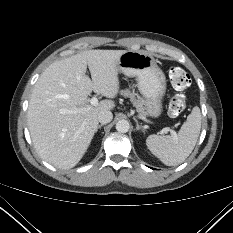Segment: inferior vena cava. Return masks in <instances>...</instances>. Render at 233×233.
Masks as SVG:
<instances>
[{"mask_svg":"<svg viewBox=\"0 0 233 233\" xmlns=\"http://www.w3.org/2000/svg\"><path fill=\"white\" fill-rule=\"evenodd\" d=\"M113 115L112 112L109 110H103L98 115V121L101 124H106L112 121Z\"/></svg>","mask_w":233,"mask_h":233,"instance_id":"obj_1","label":"inferior vena cava"}]
</instances>
